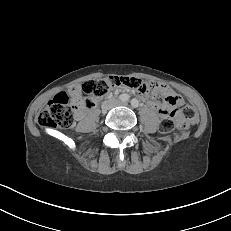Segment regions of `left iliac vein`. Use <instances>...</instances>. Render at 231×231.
<instances>
[{"mask_svg":"<svg viewBox=\"0 0 231 231\" xmlns=\"http://www.w3.org/2000/svg\"><path fill=\"white\" fill-rule=\"evenodd\" d=\"M128 103L127 102H123V101H119L116 103V106H127Z\"/></svg>","mask_w":231,"mask_h":231,"instance_id":"4c4485c4","label":"left iliac vein"}]
</instances>
